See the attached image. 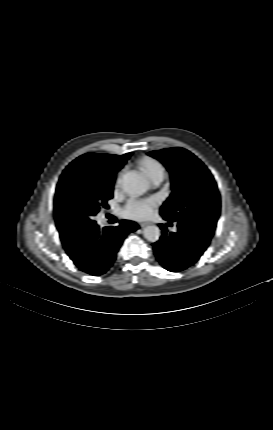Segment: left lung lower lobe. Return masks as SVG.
I'll list each match as a JSON object with an SVG mask.
<instances>
[{
    "label": "left lung lower lobe",
    "instance_id": "0a47b994",
    "mask_svg": "<svg viewBox=\"0 0 273 430\" xmlns=\"http://www.w3.org/2000/svg\"><path fill=\"white\" fill-rule=\"evenodd\" d=\"M205 209L201 212L202 218H207ZM162 217L172 222L169 218ZM170 225V223H168ZM178 231L168 233L166 225L160 224L162 236L153 244L156 258L161 265L171 272L182 271L193 265L207 249L209 242L196 233L194 228L178 223Z\"/></svg>",
    "mask_w": 273,
    "mask_h": 430
}]
</instances>
